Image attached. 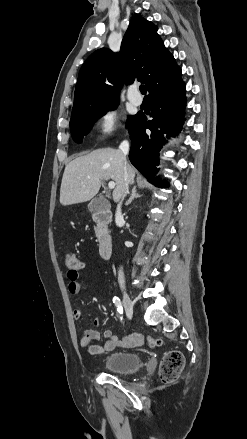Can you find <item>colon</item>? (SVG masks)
Here are the masks:
<instances>
[{
    "label": "colon",
    "mask_w": 247,
    "mask_h": 439,
    "mask_svg": "<svg viewBox=\"0 0 247 439\" xmlns=\"http://www.w3.org/2000/svg\"><path fill=\"white\" fill-rule=\"evenodd\" d=\"M65 263L69 270L80 271L83 269V262L74 254H66ZM148 343L151 347H158L161 345L159 339L149 338ZM185 359L183 354L177 350H171L164 354L160 366L159 375L163 383L170 384L175 382L183 367Z\"/></svg>",
    "instance_id": "colon-1"
}]
</instances>
